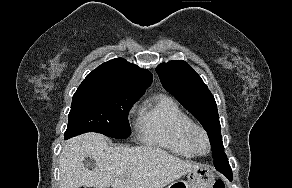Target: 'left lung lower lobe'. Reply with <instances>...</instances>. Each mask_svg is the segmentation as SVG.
<instances>
[{
  "label": "left lung lower lobe",
  "instance_id": "left-lung-lower-lobe-1",
  "mask_svg": "<svg viewBox=\"0 0 292 188\" xmlns=\"http://www.w3.org/2000/svg\"><path fill=\"white\" fill-rule=\"evenodd\" d=\"M224 166L230 168V167H229V164H228V160H226V161L223 163V165H215V168H216L217 170H219L220 172H223L224 174H226V172H225V170H224Z\"/></svg>",
  "mask_w": 292,
  "mask_h": 188
}]
</instances>
